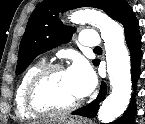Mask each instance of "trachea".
<instances>
[{
    "label": "trachea",
    "instance_id": "3493384b",
    "mask_svg": "<svg viewBox=\"0 0 145 124\" xmlns=\"http://www.w3.org/2000/svg\"><path fill=\"white\" fill-rule=\"evenodd\" d=\"M94 50H101V47H96L94 48Z\"/></svg>",
    "mask_w": 145,
    "mask_h": 124
}]
</instances>
